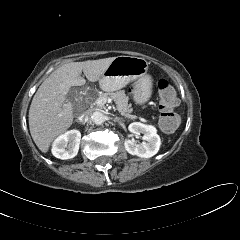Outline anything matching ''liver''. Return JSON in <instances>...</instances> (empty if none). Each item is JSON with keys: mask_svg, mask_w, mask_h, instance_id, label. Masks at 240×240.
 Returning <instances> with one entry per match:
<instances>
[{"mask_svg": "<svg viewBox=\"0 0 240 240\" xmlns=\"http://www.w3.org/2000/svg\"><path fill=\"white\" fill-rule=\"evenodd\" d=\"M116 57L83 62H71L56 69L41 84L29 109V129L37 147L44 153L58 135L73 122V104L66 99L72 86H82L86 80L96 82Z\"/></svg>", "mask_w": 240, "mask_h": 240, "instance_id": "liver-1", "label": "liver"}]
</instances>
